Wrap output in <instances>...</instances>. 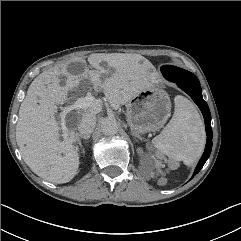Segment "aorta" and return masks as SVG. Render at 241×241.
<instances>
[{"label":"aorta","instance_id":"1","mask_svg":"<svg viewBox=\"0 0 241 241\" xmlns=\"http://www.w3.org/2000/svg\"><path fill=\"white\" fill-rule=\"evenodd\" d=\"M101 131L104 135H114L118 131V122L114 118H104L101 123Z\"/></svg>","mask_w":241,"mask_h":241}]
</instances>
